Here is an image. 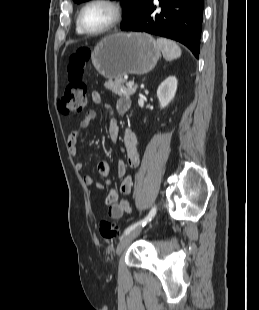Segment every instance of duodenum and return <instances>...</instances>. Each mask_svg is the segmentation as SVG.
Masks as SVG:
<instances>
[{
    "label": "duodenum",
    "instance_id": "1",
    "mask_svg": "<svg viewBox=\"0 0 259 310\" xmlns=\"http://www.w3.org/2000/svg\"><path fill=\"white\" fill-rule=\"evenodd\" d=\"M128 109L127 108H122L121 110H120V112L121 113H124V112H126Z\"/></svg>",
    "mask_w": 259,
    "mask_h": 310
}]
</instances>
